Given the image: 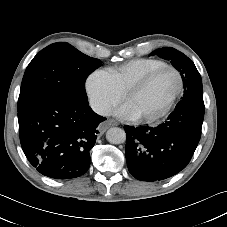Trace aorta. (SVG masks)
I'll list each match as a JSON object with an SVG mask.
<instances>
[{"label":"aorta","instance_id":"obj_1","mask_svg":"<svg viewBox=\"0 0 227 227\" xmlns=\"http://www.w3.org/2000/svg\"><path fill=\"white\" fill-rule=\"evenodd\" d=\"M106 139L112 144H121L126 140V133L121 128L113 127L107 131Z\"/></svg>","mask_w":227,"mask_h":227}]
</instances>
